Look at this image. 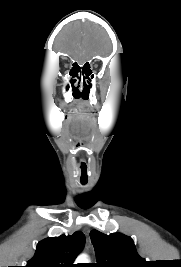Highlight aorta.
I'll list each match as a JSON object with an SVG mask.
<instances>
[{"label": "aorta", "instance_id": "obj_1", "mask_svg": "<svg viewBox=\"0 0 181 267\" xmlns=\"http://www.w3.org/2000/svg\"><path fill=\"white\" fill-rule=\"evenodd\" d=\"M88 261V257L86 254H81L78 258H77V262H82V263H86Z\"/></svg>", "mask_w": 181, "mask_h": 267}]
</instances>
